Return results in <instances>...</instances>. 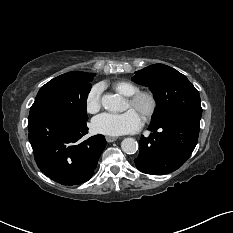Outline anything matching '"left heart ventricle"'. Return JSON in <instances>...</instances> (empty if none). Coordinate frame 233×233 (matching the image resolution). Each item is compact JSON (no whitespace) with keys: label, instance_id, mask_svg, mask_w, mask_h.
<instances>
[{"label":"left heart ventricle","instance_id":"obj_1","mask_svg":"<svg viewBox=\"0 0 233 233\" xmlns=\"http://www.w3.org/2000/svg\"><path fill=\"white\" fill-rule=\"evenodd\" d=\"M148 102L146 100H142L137 107H132L128 102L126 103V109H133L139 115H142V112L147 108Z\"/></svg>","mask_w":233,"mask_h":233}]
</instances>
